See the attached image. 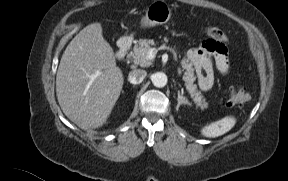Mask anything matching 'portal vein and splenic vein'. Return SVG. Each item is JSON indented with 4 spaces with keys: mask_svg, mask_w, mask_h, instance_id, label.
Instances as JSON below:
<instances>
[{
    "mask_svg": "<svg viewBox=\"0 0 288 181\" xmlns=\"http://www.w3.org/2000/svg\"><path fill=\"white\" fill-rule=\"evenodd\" d=\"M156 53H157V50L155 48H151L149 51H148V54L146 56V59L147 60H153L154 57L156 56ZM178 74L181 75V69L178 68Z\"/></svg>",
    "mask_w": 288,
    "mask_h": 181,
    "instance_id": "portal-vein-and-splenic-vein-1",
    "label": "portal vein and splenic vein"
}]
</instances>
